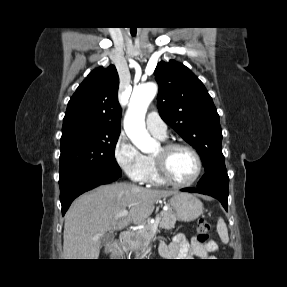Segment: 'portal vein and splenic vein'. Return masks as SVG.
Returning <instances> with one entry per match:
<instances>
[{
    "label": "portal vein and splenic vein",
    "instance_id": "18ae733b",
    "mask_svg": "<svg viewBox=\"0 0 287 287\" xmlns=\"http://www.w3.org/2000/svg\"><path fill=\"white\" fill-rule=\"evenodd\" d=\"M127 215H128V211H127V210H124V211L120 212L119 214H117V215L115 216V219H119V218H122V217H126ZM160 220H161V218H160V217H157L156 220L154 221V224H153V227H152V232H153V233L156 232Z\"/></svg>",
    "mask_w": 287,
    "mask_h": 287
}]
</instances>
